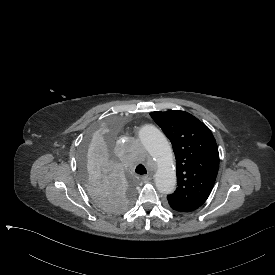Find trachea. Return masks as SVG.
<instances>
[{
    "label": "trachea",
    "mask_w": 275,
    "mask_h": 275,
    "mask_svg": "<svg viewBox=\"0 0 275 275\" xmlns=\"http://www.w3.org/2000/svg\"><path fill=\"white\" fill-rule=\"evenodd\" d=\"M136 173L140 174V175H143V174H146L147 171H146V168L142 165V164H139L137 167H136Z\"/></svg>",
    "instance_id": "obj_1"
}]
</instances>
